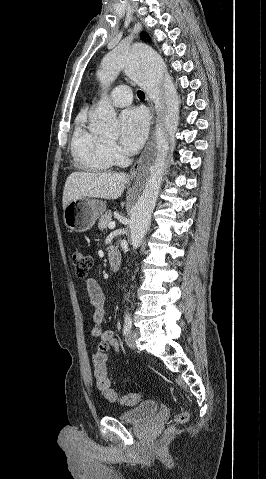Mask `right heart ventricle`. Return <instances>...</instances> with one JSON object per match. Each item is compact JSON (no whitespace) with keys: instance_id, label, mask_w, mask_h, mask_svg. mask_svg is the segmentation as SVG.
<instances>
[{"instance_id":"1","label":"right heart ventricle","mask_w":266,"mask_h":479,"mask_svg":"<svg viewBox=\"0 0 266 479\" xmlns=\"http://www.w3.org/2000/svg\"><path fill=\"white\" fill-rule=\"evenodd\" d=\"M107 142L99 135L87 130L83 118L76 124L71 150L77 167L92 172H108L114 166L106 148Z\"/></svg>"}]
</instances>
